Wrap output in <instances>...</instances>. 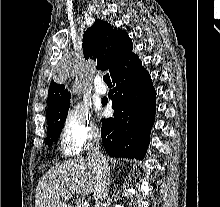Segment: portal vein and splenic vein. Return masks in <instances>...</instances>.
<instances>
[{
	"instance_id": "1",
	"label": "portal vein and splenic vein",
	"mask_w": 220,
	"mask_h": 207,
	"mask_svg": "<svg viewBox=\"0 0 220 207\" xmlns=\"http://www.w3.org/2000/svg\"><path fill=\"white\" fill-rule=\"evenodd\" d=\"M79 207H89V203L86 200L79 202Z\"/></svg>"
}]
</instances>
